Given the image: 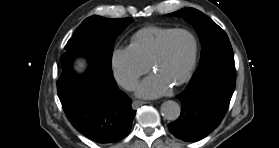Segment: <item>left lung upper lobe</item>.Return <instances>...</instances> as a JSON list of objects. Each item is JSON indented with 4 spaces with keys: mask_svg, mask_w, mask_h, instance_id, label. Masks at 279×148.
Here are the masks:
<instances>
[{
    "mask_svg": "<svg viewBox=\"0 0 279 148\" xmlns=\"http://www.w3.org/2000/svg\"><path fill=\"white\" fill-rule=\"evenodd\" d=\"M172 15L182 16L192 23L199 33L202 51L198 70L217 60L234 59L232 46L226 33L202 12L194 8H184Z\"/></svg>",
    "mask_w": 279,
    "mask_h": 148,
    "instance_id": "5c2ea615",
    "label": "left lung upper lobe"
}]
</instances>
